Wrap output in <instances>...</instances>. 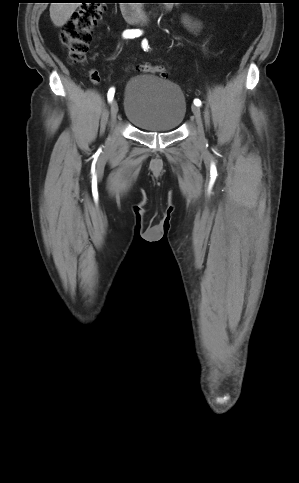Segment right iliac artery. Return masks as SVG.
I'll return each instance as SVG.
<instances>
[{"label":"right iliac artery","instance_id":"obj_1","mask_svg":"<svg viewBox=\"0 0 299 483\" xmlns=\"http://www.w3.org/2000/svg\"><path fill=\"white\" fill-rule=\"evenodd\" d=\"M142 34V31L139 29H132V30H125L123 32V37L124 38H135L139 37ZM115 89L112 87L109 89L107 97L108 101L111 102L113 97H114Z\"/></svg>","mask_w":299,"mask_h":483}]
</instances>
